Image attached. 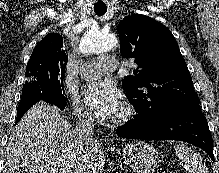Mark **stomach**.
Returning a JSON list of instances; mask_svg holds the SVG:
<instances>
[{
    "mask_svg": "<svg viewBox=\"0 0 219 173\" xmlns=\"http://www.w3.org/2000/svg\"><path fill=\"white\" fill-rule=\"evenodd\" d=\"M124 163L134 173H154L159 167V152L145 142H134L121 149Z\"/></svg>",
    "mask_w": 219,
    "mask_h": 173,
    "instance_id": "obj_1",
    "label": "stomach"
}]
</instances>
